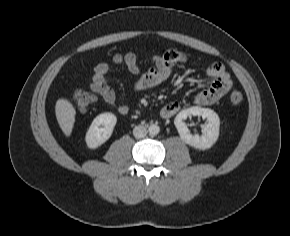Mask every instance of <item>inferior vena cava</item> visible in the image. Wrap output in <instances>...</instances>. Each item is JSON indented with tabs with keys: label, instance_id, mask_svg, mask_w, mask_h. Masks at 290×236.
I'll return each mask as SVG.
<instances>
[{
	"label": "inferior vena cava",
	"instance_id": "obj_1",
	"mask_svg": "<svg viewBox=\"0 0 290 236\" xmlns=\"http://www.w3.org/2000/svg\"><path fill=\"white\" fill-rule=\"evenodd\" d=\"M146 134L147 129L142 125L135 126L133 129V135L135 136V138H143L146 136Z\"/></svg>",
	"mask_w": 290,
	"mask_h": 236
}]
</instances>
